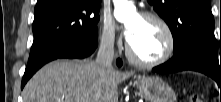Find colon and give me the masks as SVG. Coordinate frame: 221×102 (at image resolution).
Returning <instances> with one entry per match:
<instances>
[{
	"label": "colon",
	"mask_w": 221,
	"mask_h": 102,
	"mask_svg": "<svg viewBox=\"0 0 221 102\" xmlns=\"http://www.w3.org/2000/svg\"><path fill=\"white\" fill-rule=\"evenodd\" d=\"M189 102H202V99L199 95H192L189 99Z\"/></svg>",
	"instance_id": "colon-1"
}]
</instances>
